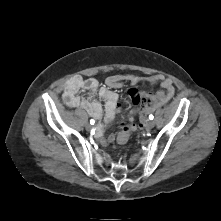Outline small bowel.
<instances>
[{
  "label": "small bowel",
  "mask_w": 221,
  "mask_h": 221,
  "mask_svg": "<svg viewBox=\"0 0 221 221\" xmlns=\"http://www.w3.org/2000/svg\"><path fill=\"white\" fill-rule=\"evenodd\" d=\"M143 80L148 81L150 84L159 83L162 88V90L158 91L153 97L154 107L164 104L170 100L175 93L173 81L162 75L156 74L143 78L133 74H118L109 76L105 81V85L101 87L95 78L84 79L81 76H74L67 81L63 98L69 107L82 108L89 116L101 120L96 127V136L101 142L110 143L115 140V135L110 134L106 137L105 130L120 110L119 96L114 90L120 89L124 82H129L132 86H135ZM82 90L87 92L86 97L80 95V91ZM96 96H99L105 103L104 115L102 106L96 100ZM129 97L134 105V108L130 112L139 113L136 111V106L146 100V93L132 88L129 90ZM145 109L147 108L144 107V110ZM140 113L142 114L143 112Z\"/></svg>",
  "instance_id": "1"
}]
</instances>
